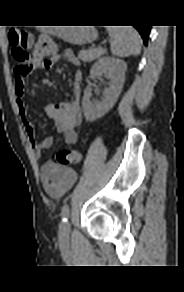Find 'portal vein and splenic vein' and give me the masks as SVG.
Instances as JSON below:
<instances>
[{"mask_svg": "<svg viewBox=\"0 0 184 292\" xmlns=\"http://www.w3.org/2000/svg\"><path fill=\"white\" fill-rule=\"evenodd\" d=\"M99 50H100V51H103L104 49H103L102 47H99Z\"/></svg>", "mask_w": 184, "mask_h": 292, "instance_id": "18ae733b", "label": "portal vein and splenic vein"}]
</instances>
